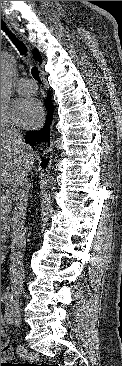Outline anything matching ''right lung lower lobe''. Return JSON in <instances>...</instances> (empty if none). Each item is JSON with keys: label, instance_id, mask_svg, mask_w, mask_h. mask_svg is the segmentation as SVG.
Returning <instances> with one entry per match:
<instances>
[{"label": "right lung lower lobe", "instance_id": "right-lung-lower-lobe-1", "mask_svg": "<svg viewBox=\"0 0 122 366\" xmlns=\"http://www.w3.org/2000/svg\"><path fill=\"white\" fill-rule=\"evenodd\" d=\"M47 101H48V105H49V112L46 117V121H45L43 128L38 131H29L26 133L25 140L27 143H29L31 145H32V143H35V142H45L48 144L50 143V126L53 121L54 106L52 104L51 96L49 93L47 96ZM48 160L49 159L42 161L43 168H46V165L48 164Z\"/></svg>", "mask_w": 122, "mask_h": 366}]
</instances>
